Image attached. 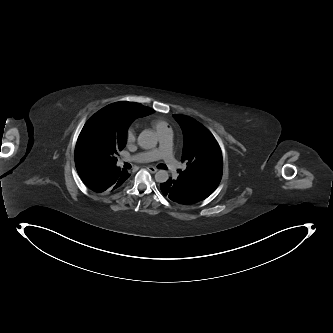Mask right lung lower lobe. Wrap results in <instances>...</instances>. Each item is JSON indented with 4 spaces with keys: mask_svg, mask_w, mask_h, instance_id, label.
<instances>
[{
    "mask_svg": "<svg viewBox=\"0 0 333 333\" xmlns=\"http://www.w3.org/2000/svg\"><path fill=\"white\" fill-rule=\"evenodd\" d=\"M86 186L95 193H109L119 189L129 178L127 170L112 166L105 170L77 169Z\"/></svg>",
    "mask_w": 333,
    "mask_h": 333,
    "instance_id": "1",
    "label": "right lung lower lobe"
}]
</instances>
